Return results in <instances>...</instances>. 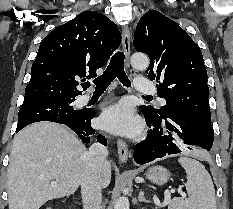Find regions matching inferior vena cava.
<instances>
[{"label":"inferior vena cava","mask_w":233,"mask_h":209,"mask_svg":"<svg viewBox=\"0 0 233 209\" xmlns=\"http://www.w3.org/2000/svg\"><path fill=\"white\" fill-rule=\"evenodd\" d=\"M108 150L94 143L85 155V169L81 180L83 209H100L102 201L101 172L107 163Z\"/></svg>","instance_id":"602c4592"}]
</instances>
